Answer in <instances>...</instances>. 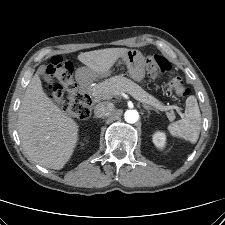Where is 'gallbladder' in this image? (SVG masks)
Returning a JSON list of instances; mask_svg holds the SVG:
<instances>
[{
	"instance_id": "1",
	"label": "gallbladder",
	"mask_w": 225,
	"mask_h": 225,
	"mask_svg": "<svg viewBox=\"0 0 225 225\" xmlns=\"http://www.w3.org/2000/svg\"><path fill=\"white\" fill-rule=\"evenodd\" d=\"M38 74L48 83L52 82V77L46 73L45 66H40L38 68Z\"/></svg>"
}]
</instances>
